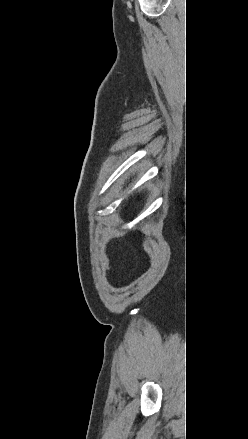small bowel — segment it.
Returning <instances> with one entry per match:
<instances>
[{"label":"small bowel","mask_w":248,"mask_h":439,"mask_svg":"<svg viewBox=\"0 0 248 439\" xmlns=\"http://www.w3.org/2000/svg\"><path fill=\"white\" fill-rule=\"evenodd\" d=\"M106 264H107V265H109V262H108V261H106Z\"/></svg>","instance_id":"c3829d8e"}]
</instances>
